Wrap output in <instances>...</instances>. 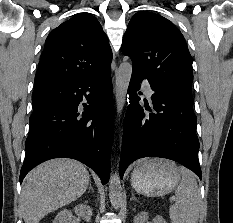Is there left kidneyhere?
<instances>
[{"label": "left kidney", "mask_w": 233, "mask_h": 223, "mask_svg": "<svg viewBox=\"0 0 233 223\" xmlns=\"http://www.w3.org/2000/svg\"><path fill=\"white\" fill-rule=\"evenodd\" d=\"M148 213L147 211H140V213H137V215H134V223H151V221H148ZM152 223H167L165 221L164 217L162 215H155Z\"/></svg>", "instance_id": "5707ae66"}]
</instances>
